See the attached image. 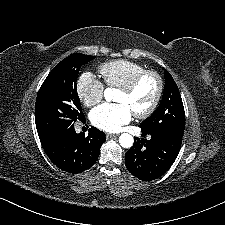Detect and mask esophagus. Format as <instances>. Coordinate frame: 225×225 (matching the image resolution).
Masks as SVG:
<instances>
[{"label":"esophagus","mask_w":225,"mask_h":225,"mask_svg":"<svg viewBox=\"0 0 225 225\" xmlns=\"http://www.w3.org/2000/svg\"><path fill=\"white\" fill-rule=\"evenodd\" d=\"M117 136H118L117 134L106 133V138H113Z\"/></svg>","instance_id":"34e87169"}]
</instances>
